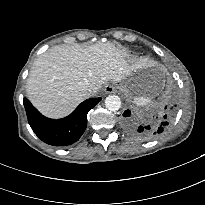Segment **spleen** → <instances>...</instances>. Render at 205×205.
Wrapping results in <instances>:
<instances>
[{"mask_svg":"<svg viewBox=\"0 0 205 205\" xmlns=\"http://www.w3.org/2000/svg\"><path fill=\"white\" fill-rule=\"evenodd\" d=\"M134 102L137 105L145 106L151 102V99L146 98V97H137V98H135Z\"/></svg>","mask_w":205,"mask_h":205,"instance_id":"3e777b00","label":"spleen"}]
</instances>
